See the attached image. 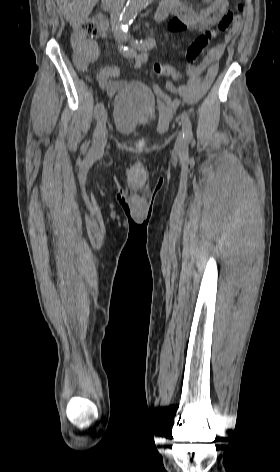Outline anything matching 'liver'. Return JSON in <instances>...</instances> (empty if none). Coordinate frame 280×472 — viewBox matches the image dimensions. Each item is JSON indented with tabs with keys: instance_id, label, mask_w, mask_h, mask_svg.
<instances>
[{
	"instance_id": "obj_1",
	"label": "liver",
	"mask_w": 280,
	"mask_h": 472,
	"mask_svg": "<svg viewBox=\"0 0 280 472\" xmlns=\"http://www.w3.org/2000/svg\"><path fill=\"white\" fill-rule=\"evenodd\" d=\"M99 0H56L65 19L73 28L80 27Z\"/></svg>"
}]
</instances>
